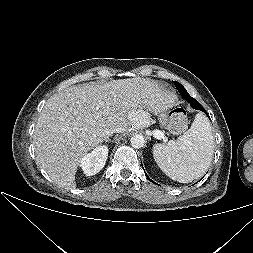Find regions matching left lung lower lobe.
Masks as SVG:
<instances>
[{"label": "left lung lower lobe", "instance_id": "left-lung-lower-lobe-1", "mask_svg": "<svg viewBox=\"0 0 253 253\" xmlns=\"http://www.w3.org/2000/svg\"><path fill=\"white\" fill-rule=\"evenodd\" d=\"M191 106L194 108V109H197V110H200V111H203L205 114H207V112L205 111V109L199 104V102L197 100H193L190 102ZM208 116V114H207ZM143 167V166H142ZM145 172V171H144ZM146 175V174H145ZM146 177L154 183V181H152L147 175Z\"/></svg>", "mask_w": 253, "mask_h": 253}]
</instances>
